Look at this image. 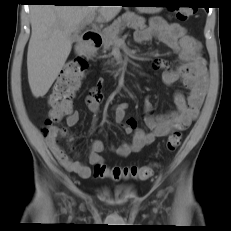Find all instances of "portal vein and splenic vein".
Masks as SVG:
<instances>
[{
	"label": "portal vein and splenic vein",
	"mask_w": 231,
	"mask_h": 231,
	"mask_svg": "<svg viewBox=\"0 0 231 231\" xmlns=\"http://www.w3.org/2000/svg\"><path fill=\"white\" fill-rule=\"evenodd\" d=\"M94 20V17L93 16H89L86 20H85V23L87 24H91Z\"/></svg>",
	"instance_id": "18ae733b"
}]
</instances>
